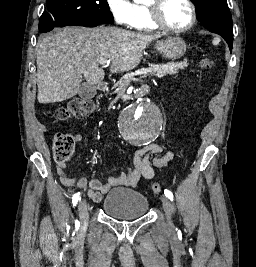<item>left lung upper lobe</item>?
Listing matches in <instances>:
<instances>
[{"label": "left lung upper lobe", "mask_w": 256, "mask_h": 267, "mask_svg": "<svg viewBox=\"0 0 256 267\" xmlns=\"http://www.w3.org/2000/svg\"><path fill=\"white\" fill-rule=\"evenodd\" d=\"M192 2L196 6L198 18L203 26L221 35L232 51L233 26L227 0H192Z\"/></svg>", "instance_id": "left-lung-upper-lobe-1"}]
</instances>
